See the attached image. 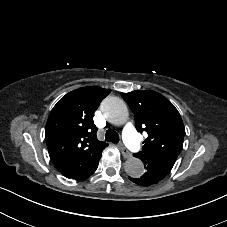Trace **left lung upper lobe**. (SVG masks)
Listing matches in <instances>:
<instances>
[{
    "label": "left lung upper lobe",
    "instance_id": "obj_1",
    "mask_svg": "<svg viewBox=\"0 0 227 227\" xmlns=\"http://www.w3.org/2000/svg\"><path fill=\"white\" fill-rule=\"evenodd\" d=\"M134 113L138 132H147L142 151L133 156L146 167H154L164 175L171 171L183 148L185 128L174 105L155 91L136 90L121 93Z\"/></svg>",
    "mask_w": 227,
    "mask_h": 227
}]
</instances>
